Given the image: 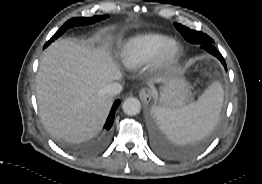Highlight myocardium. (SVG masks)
Wrapping results in <instances>:
<instances>
[{
  "mask_svg": "<svg viewBox=\"0 0 262 184\" xmlns=\"http://www.w3.org/2000/svg\"><path fill=\"white\" fill-rule=\"evenodd\" d=\"M182 54V46L176 40H171L155 58V64L159 67H166L175 63Z\"/></svg>",
  "mask_w": 262,
  "mask_h": 184,
  "instance_id": "myocardium-1",
  "label": "myocardium"
}]
</instances>
